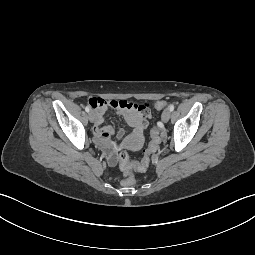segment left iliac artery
Returning <instances> with one entry per match:
<instances>
[{
  "label": "left iliac artery",
  "mask_w": 255,
  "mask_h": 255,
  "mask_svg": "<svg viewBox=\"0 0 255 255\" xmlns=\"http://www.w3.org/2000/svg\"><path fill=\"white\" fill-rule=\"evenodd\" d=\"M169 110L172 112L174 110V105H170Z\"/></svg>",
  "instance_id": "left-iliac-artery-1"
}]
</instances>
